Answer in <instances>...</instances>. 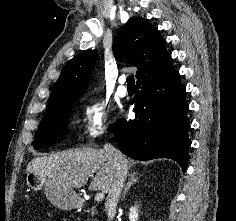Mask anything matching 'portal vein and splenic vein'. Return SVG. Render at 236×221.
Instances as JSON below:
<instances>
[{
  "mask_svg": "<svg viewBox=\"0 0 236 221\" xmlns=\"http://www.w3.org/2000/svg\"><path fill=\"white\" fill-rule=\"evenodd\" d=\"M95 201H97V202H100V201H102L103 199H104V193L103 192H99V193H97L96 195H95Z\"/></svg>",
  "mask_w": 236,
  "mask_h": 221,
  "instance_id": "portal-vein-and-splenic-vein-1",
  "label": "portal vein and splenic vein"
}]
</instances>
